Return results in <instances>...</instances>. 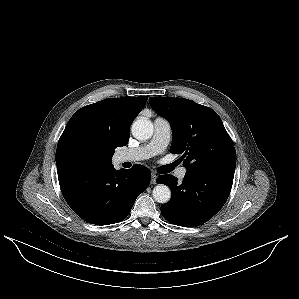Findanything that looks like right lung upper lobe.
<instances>
[{"mask_svg":"<svg viewBox=\"0 0 299 299\" xmlns=\"http://www.w3.org/2000/svg\"><path fill=\"white\" fill-rule=\"evenodd\" d=\"M146 96L108 98L79 109L68 121L56 150V165L105 166L125 146L132 121Z\"/></svg>","mask_w":299,"mask_h":299,"instance_id":"1","label":"right lung upper lobe"}]
</instances>
